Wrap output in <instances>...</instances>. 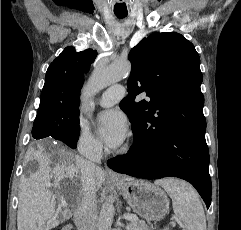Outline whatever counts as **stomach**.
<instances>
[{
	"label": "stomach",
	"mask_w": 241,
	"mask_h": 230,
	"mask_svg": "<svg viewBox=\"0 0 241 230\" xmlns=\"http://www.w3.org/2000/svg\"><path fill=\"white\" fill-rule=\"evenodd\" d=\"M115 186L133 211L146 220L158 221L169 211V199L159 186L143 180L125 179L116 181Z\"/></svg>",
	"instance_id": "obj_1"
}]
</instances>
